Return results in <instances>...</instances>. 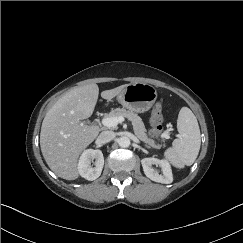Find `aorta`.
Returning a JSON list of instances; mask_svg holds the SVG:
<instances>
[{
    "mask_svg": "<svg viewBox=\"0 0 243 243\" xmlns=\"http://www.w3.org/2000/svg\"><path fill=\"white\" fill-rule=\"evenodd\" d=\"M118 144L120 147L122 148H127L130 146V139L128 137H120L119 140H118Z\"/></svg>",
    "mask_w": 243,
    "mask_h": 243,
    "instance_id": "obj_1",
    "label": "aorta"
}]
</instances>
